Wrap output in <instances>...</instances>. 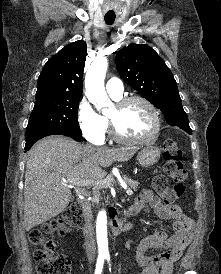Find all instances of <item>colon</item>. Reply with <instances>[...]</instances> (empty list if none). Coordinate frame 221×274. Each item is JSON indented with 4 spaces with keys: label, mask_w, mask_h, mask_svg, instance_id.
Wrapping results in <instances>:
<instances>
[{
    "label": "colon",
    "mask_w": 221,
    "mask_h": 274,
    "mask_svg": "<svg viewBox=\"0 0 221 274\" xmlns=\"http://www.w3.org/2000/svg\"><path fill=\"white\" fill-rule=\"evenodd\" d=\"M164 172L173 180L168 184L164 175L155 177L153 186L166 204L177 201L184 193L187 173L181 162V151L177 143L167 139L163 144ZM82 211L79 204L68 206L62 215L43 225L41 229H33L29 233V240L37 246L34 251L38 274H70V261L63 255L54 254V244L47 236L58 232L65 234L81 222Z\"/></svg>",
    "instance_id": "5ec220e1"
}]
</instances>
